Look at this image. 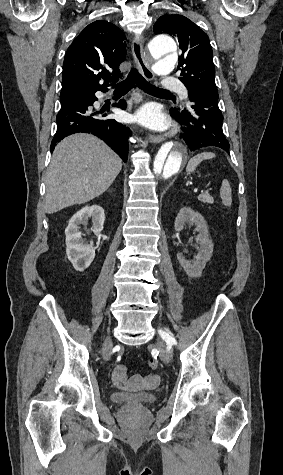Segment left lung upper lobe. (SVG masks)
<instances>
[{"label": "left lung upper lobe", "mask_w": 283, "mask_h": 475, "mask_svg": "<svg viewBox=\"0 0 283 475\" xmlns=\"http://www.w3.org/2000/svg\"><path fill=\"white\" fill-rule=\"evenodd\" d=\"M155 34L172 35L179 42L182 54L179 57V79L189 93L195 90L217 93L215 67L210 41L196 24L185 16L163 15L153 27Z\"/></svg>", "instance_id": "1"}]
</instances>
